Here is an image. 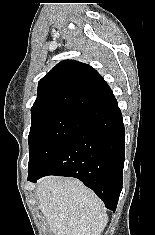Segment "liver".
<instances>
[{"instance_id":"1","label":"liver","mask_w":155,"mask_h":235,"mask_svg":"<svg viewBox=\"0 0 155 235\" xmlns=\"http://www.w3.org/2000/svg\"><path fill=\"white\" fill-rule=\"evenodd\" d=\"M36 193L54 235H100L108 222L102 201L77 179L44 177Z\"/></svg>"}]
</instances>
